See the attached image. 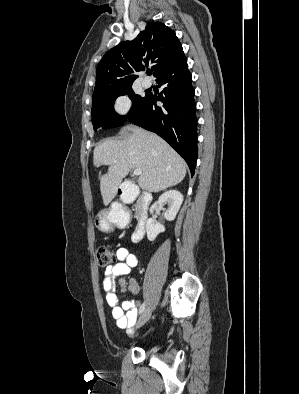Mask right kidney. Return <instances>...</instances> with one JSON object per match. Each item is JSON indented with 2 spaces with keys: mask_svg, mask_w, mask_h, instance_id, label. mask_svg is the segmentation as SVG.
Here are the masks:
<instances>
[{
  "mask_svg": "<svg viewBox=\"0 0 299 394\" xmlns=\"http://www.w3.org/2000/svg\"><path fill=\"white\" fill-rule=\"evenodd\" d=\"M183 202V195L177 190H169L163 193L158 201H156L150 207V213L152 214L154 209L159 205H168L165 210L164 217L167 221H173L181 207ZM147 238L149 241H154L159 233L165 231L164 225L158 223L155 219L149 218L146 222Z\"/></svg>",
  "mask_w": 299,
  "mask_h": 394,
  "instance_id": "1",
  "label": "right kidney"
}]
</instances>
